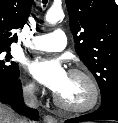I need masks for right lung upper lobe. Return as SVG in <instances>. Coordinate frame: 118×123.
I'll use <instances>...</instances> for the list:
<instances>
[{
	"label": "right lung upper lobe",
	"mask_w": 118,
	"mask_h": 123,
	"mask_svg": "<svg viewBox=\"0 0 118 123\" xmlns=\"http://www.w3.org/2000/svg\"><path fill=\"white\" fill-rule=\"evenodd\" d=\"M33 0H0V48H10L17 42L14 29L23 28Z\"/></svg>",
	"instance_id": "1"
}]
</instances>
